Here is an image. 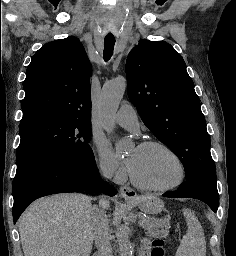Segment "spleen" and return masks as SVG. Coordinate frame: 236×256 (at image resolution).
<instances>
[{
	"label": "spleen",
	"mask_w": 236,
	"mask_h": 256,
	"mask_svg": "<svg viewBox=\"0 0 236 256\" xmlns=\"http://www.w3.org/2000/svg\"><path fill=\"white\" fill-rule=\"evenodd\" d=\"M186 218L187 234L183 236L176 256H206L204 230L192 210H182Z\"/></svg>",
	"instance_id": "obj_1"
}]
</instances>
